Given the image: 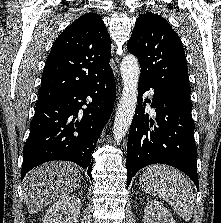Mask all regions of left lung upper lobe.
Returning <instances> with one entry per match:
<instances>
[{"instance_id":"5c2ea615","label":"left lung upper lobe","mask_w":221,"mask_h":223,"mask_svg":"<svg viewBox=\"0 0 221 223\" xmlns=\"http://www.w3.org/2000/svg\"><path fill=\"white\" fill-rule=\"evenodd\" d=\"M127 48L139 60L140 80L190 99L183 46L163 17L151 12L140 15Z\"/></svg>"}]
</instances>
